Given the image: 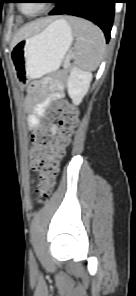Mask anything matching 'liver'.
Instances as JSON below:
<instances>
[{"mask_svg":"<svg viewBox=\"0 0 136 296\" xmlns=\"http://www.w3.org/2000/svg\"><path fill=\"white\" fill-rule=\"evenodd\" d=\"M50 21L51 19L47 18L33 21L31 23L24 25L14 36L11 46L13 47L19 40L39 32L40 29L46 26Z\"/></svg>","mask_w":136,"mask_h":296,"instance_id":"1","label":"liver"}]
</instances>
